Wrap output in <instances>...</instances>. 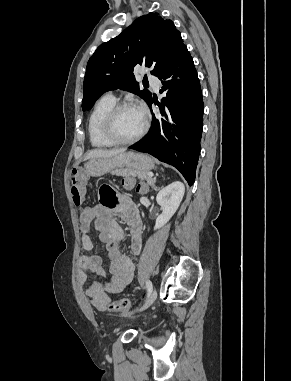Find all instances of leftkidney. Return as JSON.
Masks as SVG:
<instances>
[{
    "label": "left kidney",
    "mask_w": 291,
    "mask_h": 381,
    "mask_svg": "<svg viewBox=\"0 0 291 381\" xmlns=\"http://www.w3.org/2000/svg\"><path fill=\"white\" fill-rule=\"evenodd\" d=\"M185 192V186L180 181H175L162 188L156 197L161 206L162 213L157 217L154 230L163 227L177 211Z\"/></svg>",
    "instance_id": "1"
}]
</instances>
